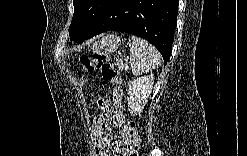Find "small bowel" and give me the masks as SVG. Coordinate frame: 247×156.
Returning <instances> with one entry per match:
<instances>
[{"instance_id": "small-bowel-1", "label": "small bowel", "mask_w": 247, "mask_h": 156, "mask_svg": "<svg viewBox=\"0 0 247 156\" xmlns=\"http://www.w3.org/2000/svg\"><path fill=\"white\" fill-rule=\"evenodd\" d=\"M123 90H113L111 99L99 100L101 113L95 116L91 128L94 141V151L97 155H126L130 148L131 136L129 135L123 107ZM114 129L120 132V138L113 135Z\"/></svg>"}]
</instances>
